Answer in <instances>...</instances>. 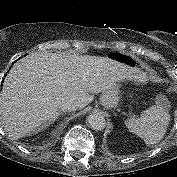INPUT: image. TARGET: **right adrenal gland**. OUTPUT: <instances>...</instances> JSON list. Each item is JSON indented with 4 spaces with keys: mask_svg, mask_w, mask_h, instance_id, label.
I'll use <instances>...</instances> for the list:
<instances>
[{
    "mask_svg": "<svg viewBox=\"0 0 177 177\" xmlns=\"http://www.w3.org/2000/svg\"><path fill=\"white\" fill-rule=\"evenodd\" d=\"M61 114H63V113L58 112L55 118L57 119ZM56 119H55V120H56ZM55 120H53V122H54ZM53 122H51V124H52Z\"/></svg>",
    "mask_w": 177,
    "mask_h": 177,
    "instance_id": "1",
    "label": "right adrenal gland"
}]
</instances>
